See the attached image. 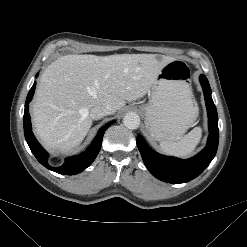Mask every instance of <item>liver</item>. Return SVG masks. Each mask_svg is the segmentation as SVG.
Here are the masks:
<instances>
[{
  "label": "liver",
  "instance_id": "liver-1",
  "mask_svg": "<svg viewBox=\"0 0 247 247\" xmlns=\"http://www.w3.org/2000/svg\"><path fill=\"white\" fill-rule=\"evenodd\" d=\"M175 59L156 54L65 55L42 76L33 103V124L45 148L71 152L87 135L90 110L115 112L149 92L162 68Z\"/></svg>",
  "mask_w": 247,
  "mask_h": 247
}]
</instances>
